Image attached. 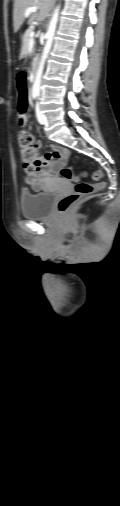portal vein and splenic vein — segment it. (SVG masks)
Listing matches in <instances>:
<instances>
[{
  "label": "portal vein and splenic vein",
  "mask_w": 120,
  "mask_h": 506,
  "mask_svg": "<svg viewBox=\"0 0 120 506\" xmlns=\"http://www.w3.org/2000/svg\"><path fill=\"white\" fill-rule=\"evenodd\" d=\"M38 10L37 7L33 6V7H28L25 11V16H29L30 13H33V12H36ZM35 35L34 31H31L30 32V36L33 37Z\"/></svg>",
  "instance_id": "portal-vein-and-splenic-vein-1"
}]
</instances>
